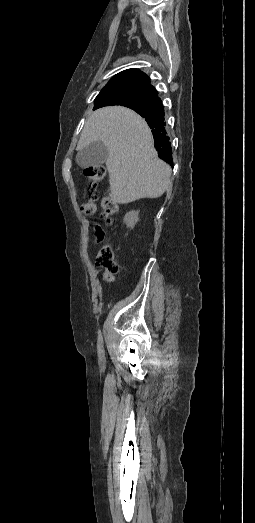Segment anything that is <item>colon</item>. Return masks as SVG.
<instances>
[{
	"label": "colon",
	"instance_id": "colon-1",
	"mask_svg": "<svg viewBox=\"0 0 255 523\" xmlns=\"http://www.w3.org/2000/svg\"><path fill=\"white\" fill-rule=\"evenodd\" d=\"M90 185L87 193V200L81 205V211L87 216H92L97 211L96 204V185L105 178L106 168L103 165L88 167L84 170ZM102 216L108 224L113 222V216L118 211L117 204L108 196L101 199ZM96 265L103 269L104 277L111 281L116 274L118 267L114 260V251L109 244L100 247L95 258Z\"/></svg>",
	"mask_w": 255,
	"mask_h": 523
}]
</instances>
